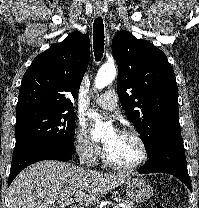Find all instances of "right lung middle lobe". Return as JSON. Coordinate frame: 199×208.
Wrapping results in <instances>:
<instances>
[{"label":"right lung middle lobe","mask_w":199,"mask_h":208,"mask_svg":"<svg viewBox=\"0 0 199 208\" xmlns=\"http://www.w3.org/2000/svg\"><path fill=\"white\" fill-rule=\"evenodd\" d=\"M74 132V111L44 108L17 111L13 157L27 148L48 145L74 153Z\"/></svg>","instance_id":"right-lung-middle-lobe-1"}]
</instances>
